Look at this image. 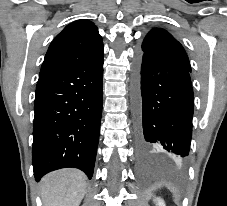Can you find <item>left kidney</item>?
<instances>
[{
	"mask_svg": "<svg viewBox=\"0 0 227 206\" xmlns=\"http://www.w3.org/2000/svg\"><path fill=\"white\" fill-rule=\"evenodd\" d=\"M154 201L156 202L157 206H165V203L161 198H156Z\"/></svg>",
	"mask_w": 227,
	"mask_h": 206,
	"instance_id": "1",
	"label": "left kidney"
}]
</instances>
